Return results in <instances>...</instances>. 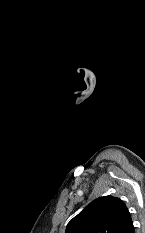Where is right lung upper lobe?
I'll return each mask as SVG.
<instances>
[{"instance_id": "1", "label": "right lung upper lobe", "mask_w": 145, "mask_h": 233, "mask_svg": "<svg viewBox=\"0 0 145 233\" xmlns=\"http://www.w3.org/2000/svg\"><path fill=\"white\" fill-rule=\"evenodd\" d=\"M65 233H134L131 215L122 200L97 198L67 225Z\"/></svg>"}]
</instances>
